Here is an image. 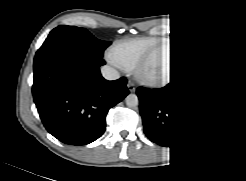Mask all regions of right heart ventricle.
Returning <instances> with one entry per match:
<instances>
[{
    "mask_svg": "<svg viewBox=\"0 0 246 181\" xmlns=\"http://www.w3.org/2000/svg\"><path fill=\"white\" fill-rule=\"evenodd\" d=\"M159 41L153 39H142L133 41L125 45L118 46L114 49L116 56L126 67H135L139 62L151 53L157 46Z\"/></svg>",
    "mask_w": 246,
    "mask_h": 181,
    "instance_id": "right-heart-ventricle-1",
    "label": "right heart ventricle"
}]
</instances>
